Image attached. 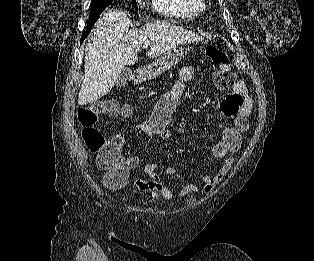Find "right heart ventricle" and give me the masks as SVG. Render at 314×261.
<instances>
[{"instance_id":"e07e8e85","label":"right heart ventricle","mask_w":314,"mask_h":261,"mask_svg":"<svg viewBox=\"0 0 314 261\" xmlns=\"http://www.w3.org/2000/svg\"><path fill=\"white\" fill-rule=\"evenodd\" d=\"M151 9L162 16L176 19H192L197 15L189 0H150Z\"/></svg>"}]
</instances>
